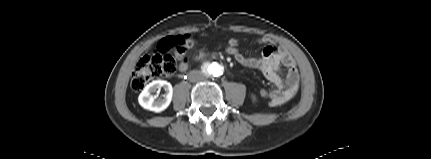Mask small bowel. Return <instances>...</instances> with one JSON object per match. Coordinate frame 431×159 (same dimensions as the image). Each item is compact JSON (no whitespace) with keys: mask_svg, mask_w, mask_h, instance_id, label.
Here are the masks:
<instances>
[{"mask_svg":"<svg viewBox=\"0 0 431 159\" xmlns=\"http://www.w3.org/2000/svg\"><path fill=\"white\" fill-rule=\"evenodd\" d=\"M258 43L265 46L258 57H248L243 53L240 56H231L243 66L262 71L266 78L277 86V89L269 91L265 98H268L269 106L279 107L291 100L297 93L299 88L298 70L291 55L284 49L276 47L269 37L260 38ZM238 46L239 41L237 39H230L228 45H223V52L228 53L231 47L238 48ZM283 68L287 70L285 77L281 75ZM179 69L181 72L188 69L186 57L180 59Z\"/></svg>","mask_w":431,"mask_h":159,"instance_id":"obj_1","label":"small bowel"}]
</instances>
